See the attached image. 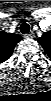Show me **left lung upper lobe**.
<instances>
[{
  "label": "left lung upper lobe",
  "mask_w": 51,
  "mask_h": 101,
  "mask_svg": "<svg viewBox=\"0 0 51 101\" xmlns=\"http://www.w3.org/2000/svg\"><path fill=\"white\" fill-rule=\"evenodd\" d=\"M38 42L43 47L44 51L49 57H51V31L45 32L39 39Z\"/></svg>",
  "instance_id": "left-lung-upper-lobe-1"
}]
</instances>
